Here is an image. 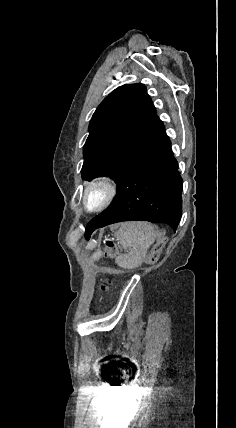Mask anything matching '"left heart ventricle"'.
<instances>
[{
  "label": "left heart ventricle",
  "mask_w": 236,
  "mask_h": 428,
  "mask_svg": "<svg viewBox=\"0 0 236 428\" xmlns=\"http://www.w3.org/2000/svg\"><path fill=\"white\" fill-rule=\"evenodd\" d=\"M101 198V193L99 191H95L91 194L90 196V202L92 204L96 203L97 201H99Z\"/></svg>",
  "instance_id": "obj_1"
}]
</instances>
